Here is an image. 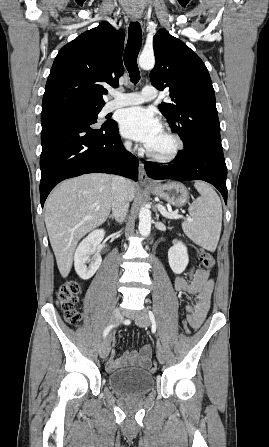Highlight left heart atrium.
<instances>
[{
	"label": "left heart atrium",
	"mask_w": 269,
	"mask_h": 447,
	"mask_svg": "<svg viewBox=\"0 0 269 447\" xmlns=\"http://www.w3.org/2000/svg\"><path fill=\"white\" fill-rule=\"evenodd\" d=\"M119 124L122 135L148 145L163 129L159 116L153 110L133 107L121 111Z\"/></svg>",
	"instance_id": "39dd6f15"
}]
</instances>
